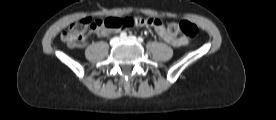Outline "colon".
I'll return each mask as SVG.
<instances>
[{
	"instance_id": "5ec220e1",
	"label": "colon",
	"mask_w": 276,
	"mask_h": 120,
	"mask_svg": "<svg viewBox=\"0 0 276 120\" xmlns=\"http://www.w3.org/2000/svg\"><path fill=\"white\" fill-rule=\"evenodd\" d=\"M159 19L157 18H141V17H107L101 19H83L72 24L66 29L61 39L64 43L71 47H76L84 38L85 33L97 30H115L121 28H129L133 26L152 25ZM167 32L171 35L182 33L188 38H195L198 29L195 24L189 21H181L179 23L171 22L167 26Z\"/></svg>"
}]
</instances>
